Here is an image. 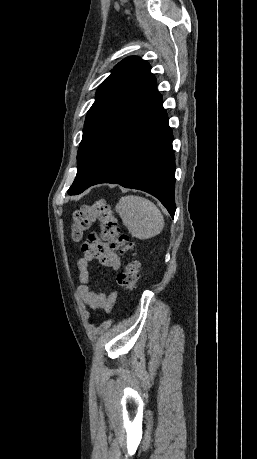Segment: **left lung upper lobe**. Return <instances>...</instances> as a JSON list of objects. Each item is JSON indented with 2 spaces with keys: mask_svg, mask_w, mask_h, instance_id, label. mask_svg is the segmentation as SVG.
I'll list each match as a JSON object with an SVG mask.
<instances>
[{
  "mask_svg": "<svg viewBox=\"0 0 257 459\" xmlns=\"http://www.w3.org/2000/svg\"><path fill=\"white\" fill-rule=\"evenodd\" d=\"M153 79L148 62L131 56L118 63L100 84L96 100L86 116L77 153V175L68 190L69 195L80 194L94 181L101 166L106 135Z\"/></svg>",
  "mask_w": 257,
  "mask_h": 459,
  "instance_id": "5c2ea615",
  "label": "left lung upper lobe"
}]
</instances>
